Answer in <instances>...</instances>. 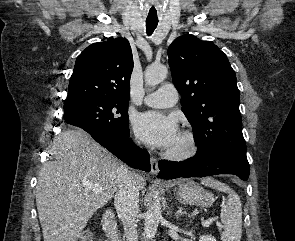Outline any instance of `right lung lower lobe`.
<instances>
[{
  "mask_svg": "<svg viewBox=\"0 0 295 241\" xmlns=\"http://www.w3.org/2000/svg\"><path fill=\"white\" fill-rule=\"evenodd\" d=\"M89 133L99 144L107 148L123 162L132 168L149 172L150 158L148 152L137 147L131 139L129 132L124 135H118L104 129L88 127L82 128Z\"/></svg>",
  "mask_w": 295,
  "mask_h": 241,
  "instance_id": "right-lung-lower-lobe-1",
  "label": "right lung lower lobe"
}]
</instances>
